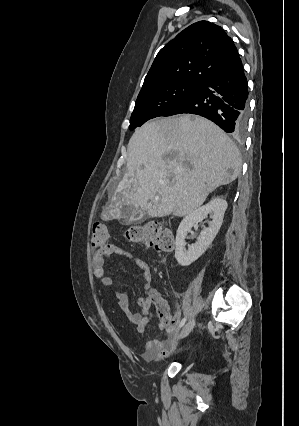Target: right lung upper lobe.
Instances as JSON below:
<instances>
[{"instance_id":"1","label":"right lung upper lobe","mask_w":299,"mask_h":426,"mask_svg":"<svg viewBox=\"0 0 299 426\" xmlns=\"http://www.w3.org/2000/svg\"><path fill=\"white\" fill-rule=\"evenodd\" d=\"M238 58L234 42L220 26L196 22L159 51L139 94L172 83L201 86Z\"/></svg>"}]
</instances>
